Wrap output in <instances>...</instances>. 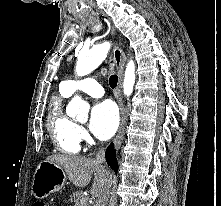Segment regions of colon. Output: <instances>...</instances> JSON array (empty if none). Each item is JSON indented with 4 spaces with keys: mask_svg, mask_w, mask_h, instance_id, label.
I'll use <instances>...</instances> for the list:
<instances>
[{
    "mask_svg": "<svg viewBox=\"0 0 221 206\" xmlns=\"http://www.w3.org/2000/svg\"><path fill=\"white\" fill-rule=\"evenodd\" d=\"M31 206H48V205L44 202L36 201Z\"/></svg>",
    "mask_w": 221,
    "mask_h": 206,
    "instance_id": "obj_1",
    "label": "colon"
}]
</instances>
